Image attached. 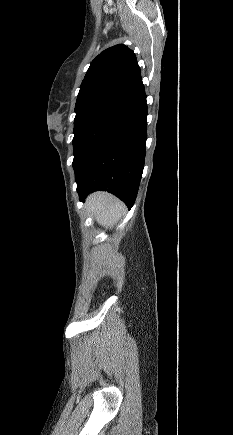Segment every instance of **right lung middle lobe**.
<instances>
[{
    "label": "right lung middle lobe",
    "mask_w": 233,
    "mask_h": 435,
    "mask_svg": "<svg viewBox=\"0 0 233 435\" xmlns=\"http://www.w3.org/2000/svg\"><path fill=\"white\" fill-rule=\"evenodd\" d=\"M123 117L122 114L101 111L75 117L74 120V169L93 146Z\"/></svg>",
    "instance_id": "obj_1"
}]
</instances>
